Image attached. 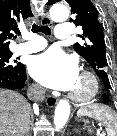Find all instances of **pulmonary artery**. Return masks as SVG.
<instances>
[{
    "label": "pulmonary artery",
    "instance_id": "obj_1",
    "mask_svg": "<svg viewBox=\"0 0 117 136\" xmlns=\"http://www.w3.org/2000/svg\"><path fill=\"white\" fill-rule=\"evenodd\" d=\"M55 36L58 39H68L71 37V31L67 23H61L55 30ZM47 46V41L41 37H34L30 41L21 44L17 52L21 54H29L38 52Z\"/></svg>",
    "mask_w": 117,
    "mask_h": 136
}]
</instances>
